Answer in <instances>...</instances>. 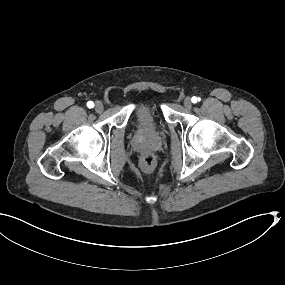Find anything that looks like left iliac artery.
Returning <instances> with one entry per match:
<instances>
[{
  "label": "left iliac artery",
  "instance_id": "left-iliac-artery-1",
  "mask_svg": "<svg viewBox=\"0 0 285 285\" xmlns=\"http://www.w3.org/2000/svg\"><path fill=\"white\" fill-rule=\"evenodd\" d=\"M191 101H192L193 103H197L198 101H200V98L193 96L192 99H191Z\"/></svg>",
  "mask_w": 285,
  "mask_h": 285
}]
</instances>
